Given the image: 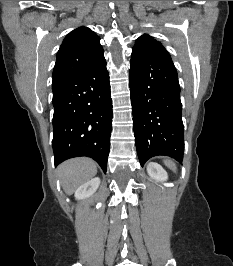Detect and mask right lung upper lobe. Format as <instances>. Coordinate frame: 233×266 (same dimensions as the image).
Masks as SVG:
<instances>
[{
    "mask_svg": "<svg viewBox=\"0 0 233 266\" xmlns=\"http://www.w3.org/2000/svg\"><path fill=\"white\" fill-rule=\"evenodd\" d=\"M104 56L100 38L87 27H79L64 39L56 56L53 86L70 80Z\"/></svg>",
    "mask_w": 233,
    "mask_h": 266,
    "instance_id": "right-lung-upper-lobe-1",
    "label": "right lung upper lobe"
}]
</instances>
